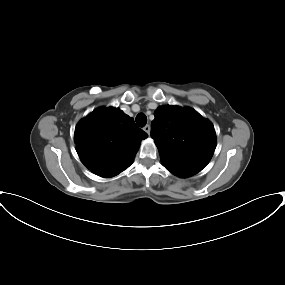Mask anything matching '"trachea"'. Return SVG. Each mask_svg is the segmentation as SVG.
Instances as JSON below:
<instances>
[{"mask_svg": "<svg viewBox=\"0 0 285 285\" xmlns=\"http://www.w3.org/2000/svg\"><path fill=\"white\" fill-rule=\"evenodd\" d=\"M136 123L138 126L140 127H144L147 123V117L145 114L143 113H139L137 116H136Z\"/></svg>", "mask_w": 285, "mask_h": 285, "instance_id": "trachea-1", "label": "trachea"}]
</instances>
